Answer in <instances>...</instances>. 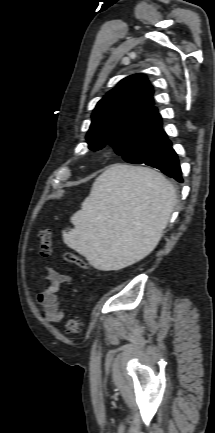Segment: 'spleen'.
<instances>
[{"label":"spleen","mask_w":215,"mask_h":433,"mask_svg":"<svg viewBox=\"0 0 215 433\" xmlns=\"http://www.w3.org/2000/svg\"><path fill=\"white\" fill-rule=\"evenodd\" d=\"M176 203L172 184L149 168L115 164L94 182L64 243L99 270H118L158 244Z\"/></svg>","instance_id":"1"}]
</instances>
